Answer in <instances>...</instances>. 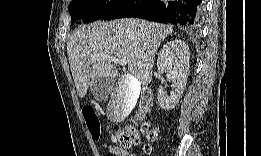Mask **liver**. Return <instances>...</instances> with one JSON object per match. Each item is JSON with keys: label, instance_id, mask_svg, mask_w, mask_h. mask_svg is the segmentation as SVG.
Wrapping results in <instances>:
<instances>
[{"label": "liver", "instance_id": "6515ba94", "mask_svg": "<svg viewBox=\"0 0 261 156\" xmlns=\"http://www.w3.org/2000/svg\"><path fill=\"white\" fill-rule=\"evenodd\" d=\"M172 31L170 25L134 18L99 21L76 28L68 40L67 55L78 96L85 97L90 81H111L118 76L112 58L125 59L136 81L148 85L152 80L155 53ZM134 104L135 100L128 96L113 95L107 106L108 118L122 120Z\"/></svg>", "mask_w": 261, "mask_h": 156}]
</instances>
